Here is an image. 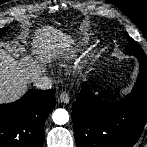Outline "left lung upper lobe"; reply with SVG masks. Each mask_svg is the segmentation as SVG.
<instances>
[{"label":"left lung upper lobe","mask_w":147,"mask_h":147,"mask_svg":"<svg viewBox=\"0 0 147 147\" xmlns=\"http://www.w3.org/2000/svg\"><path fill=\"white\" fill-rule=\"evenodd\" d=\"M130 44L125 49V54L127 55H133L137 57L138 59H144L147 60V57L141 48V46L132 38L128 37Z\"/></svg>","instance_id":"left-lung-upper-lobe-1"}]
</instances>
